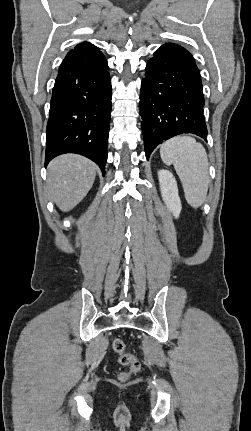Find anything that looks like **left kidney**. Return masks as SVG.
<instances>
[{
	"instance_id": "5707ae66",
	"label": "left kidney",
	"mask_w": 251,
	"mask_h": 431,
	"mask_svg": "<svg viewBox=\"0 0 251 431\" xmlns=\"http://www.w3.org/2000/svg\"><path fill=\"white\" fill-rule=\"evenodd\" d=\"M158 179L162 199L166 207L175 218H178L182 209V205L178 195L177 182L173 174L168 170L162 169L158 171Z\"/></svg>"
}]
</instances>
